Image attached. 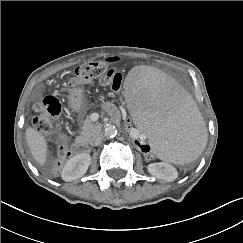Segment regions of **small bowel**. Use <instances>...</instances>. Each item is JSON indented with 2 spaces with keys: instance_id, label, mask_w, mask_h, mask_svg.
I'll list each match as a JSON object with an SVG mask.
<instances>
[{
  "instance_id": "c3829d8e",
  "label": "small bowel",
  "mask_w": 243,
  "mask_h": 243,
  "mask_svg": "<svg viewBox=\"0 0 243 243\" xmlns=\"http://www.w3.org/2000/svg\"><path fill=\"white\" fill-rule=\"evenodd\" d=\"M104 108L112 114L115 113V106L111 102H105Z\"/></svg>"
}]
</instances>
